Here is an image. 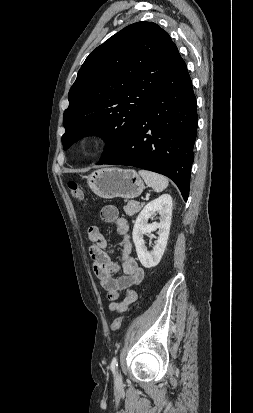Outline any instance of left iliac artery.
Masks as SVG:
<instances>
[{
  "label": "left iliac artery",
  "instance_id": "left-iliac-artery-1",
  "mask_svg": "<svg viewBox=\"0 0 253 413\" xmlns=\"http://www.w3.org/2000/svg\"><path fill=\"white\" fill-rule=\"evenodd\" d=\"M116 367H117V358L114 357L112 359V362H111V370H112L113 374H115V372H116Z\"/></svg>",
  "mask_w": 253,
  "mask_h": 413
}]
</instances>
